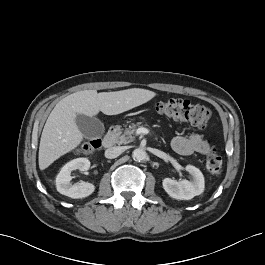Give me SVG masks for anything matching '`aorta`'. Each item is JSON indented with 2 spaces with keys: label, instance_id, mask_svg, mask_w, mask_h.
Wrapping results in <instances>:
<instances>
[{
  "label": "aorta",
  "instance_id": "762f6f07",
  "mask_svg": "<svg viewBox=\"0 0 265 265\" xmlns=\"http://www.w3.org/2000/svg\"><path fill=\"white\" fill-rule=\"evenodd\" d=\"M132 157L135 161L141 162L147 158V153L144 149L137 148L132 152Z\"/></svg>",
  "mask_w": 265,
  "mask_h": 265
}]
</instances>
